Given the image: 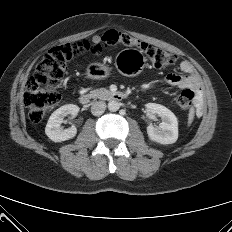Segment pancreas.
Returning <instances> with one entry per match:
<instances>
[{
  "label": "pancreas",
  "mask_w": 232,
  "mask_h": 232,
  "mask_svg": "<svg viewBox=\"0 0 232 232\" xmlns=\"http://www.w3.org/2000/svg\"><path fill=\"white\" fill-rule=\"evenodd\" d=\"M111 92L105 88H100L96 90H92L90 92L91 97L93 98H99V99H104L106 96L110 95Z\"/></svg>",
  "instance_id": "pancreas-1"
}]
</instances>
